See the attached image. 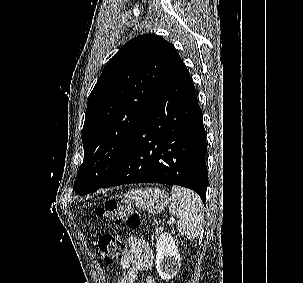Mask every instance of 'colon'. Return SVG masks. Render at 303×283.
Masks as SVG:
<instances>
[{
    "label": "colon",
    "instance_id": "colon-1",
    "mask_svg": "<svg viewBox=\"0 0 303 283\" xmlns=\"http://www.w3.org/2000/svg\"><path fill=\"white\" fill-rule=\"evenodd\" d=\"M98 218H104L114 224L125 223L130 229L140 225V216L136 209L129 205H120L114 200L107 201L95 210ZM98 246L106 263H116L126 248L125 240L110 230L100 232Z\"/></svg>",
    "mask_w": 303,
    "mask_h": 283
}]
</instances>
